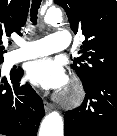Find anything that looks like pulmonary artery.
<instances>
[{
    "label": "pulmonary artery",
    "mask_w": 117,
    "mask_h": 136,
    "mask_svg": "<svg viewBox=\"0 0 117 136\" xmlns=\"http://www.w3.org/2000/svg\"><path fill=\"white\" fill-rule=\"evenodd\" d=\"M71 41V33L68 30H56L41 39L20 42L21 48L12 52L11 62L18 63L61 51L69 47Z\"/></svg>",
    "instance_id": "1"
}]
</instances>
